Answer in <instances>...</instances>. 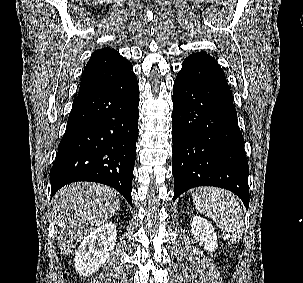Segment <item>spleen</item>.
Here are the masks:
<instances>
[{
  "instance_id": "3e777b00",
  "label": "spleen",
  "mask_w": 303,
  "mask_h": 283,
  "mask_svg": "<svg viewBox=\"0 0 303 283\" xmlns=\"http://www.w3.org/2000/svg\"><path fill=\"white\" fill-rule=\"evenodd\" d=\"M196 209L215 221L225 241L239 242L243 234V212L230 192L213 187L198 188L193 194Z\"/></svg>"
}]
</instances>
